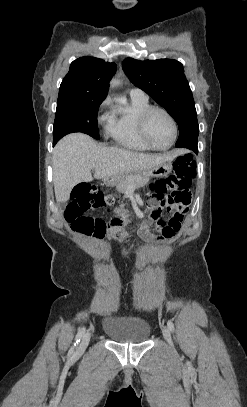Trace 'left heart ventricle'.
I'll return each mask as SVG.
<instances>
[{"mask_svg":"<svg viewBox=\"0 0 247 407\" xmlns=\"http://www.w3.org/2000/svg\"><path fill=\"white\" fill-rule=\"evenodd\" d=\"M147 134L150 141L157 147H166L173 137V126L162 113H153L147 122Z\"/></svg>","mask_w":247,"mask_h":407,"instance_id":"b2bd125f","label":"left heart ventricle"}]
</instances>
